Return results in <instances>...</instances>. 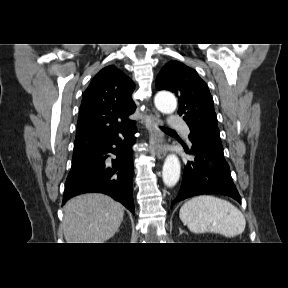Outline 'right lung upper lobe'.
<instances>
[{
	"mask_svg": "<svg viewBox=\"0 0 288 288\" xmlns=\"http://www.w3.org/2000/svg\"><path fill=\"white\" fill-rule=\"evenodd\" d=\"M134 83L114 66L103 68L86 89L74 142L75 156H81L129 128L128 119L136 107Z\"/></svg>",
	"mask_w": 288,
	"mask_h": 288,
	"instance_id": "cb5924a9",
	"label": "right lung upper lobe"
}]
</instances>
